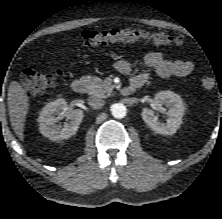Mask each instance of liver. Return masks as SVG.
Returning a JSON list of instances; mask_svg holds the SVG:
<instances>
[{"mask_svg":"<svg viewBox=\"0 0 222 219\" xmlns=\"http://www.w3.org/2000/svg\"><path fill=\"white\" fill-rule=\"evenodd\" d=\"M29 108V98L17 81L8 88V111L12 128L20 140L24 139L25 119Z\"/></svg>","mask_w":222,"mask_h":219,"instance_id":"6515ba94","label":"liver"}]
</instances>
